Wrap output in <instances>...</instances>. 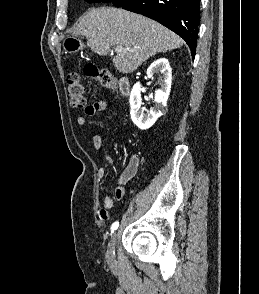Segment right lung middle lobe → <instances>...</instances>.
I'll use <instances>...</instances> for the list:
<instances>
[{
    "instance_id": "dd1d6c3e",
    "label": "right lung middle lobe",
    "mask_w": 259,
    "mask_h": 294,
    "mask_svg": "<svg viewBox=\"0 0 259 294\" xmlns=\"http://www.w3.org/2000/svg\"><path fill=\"white\" fill-rule=\"evenodd\" d=\"M89 3H95V2H111L114 6L120 7L124 3H126L128 0H86Z\"/></svg>"
}]
</instances>
